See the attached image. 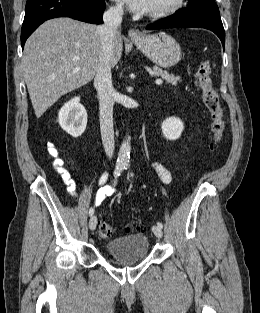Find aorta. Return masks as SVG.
I'll return each mask as SVG.
<instances>
[{
	"instance_id": "762f6f07",
	"label": "aorta",
	"mask_w": 260,
	"mask_h": 313,
	"mask_svg": "<svg viewBox=\"0 0 260 313\" xmlns=\"http://www.w3.org/2000/svg\"><path fill=\"white\" fill-rule=\"evenodd\" d=\"M130 137L123 141L120 146L119 153H118V163L122 165H126L130 159V152H131V145H130Z\"/></svg>"
}]
</instances>
